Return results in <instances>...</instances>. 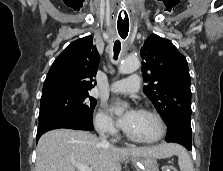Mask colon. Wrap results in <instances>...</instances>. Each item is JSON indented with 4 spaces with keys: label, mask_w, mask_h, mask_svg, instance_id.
Listing matches in <instances>:
<instances>
[{
    "label": "colon",
    "mask_w": 223,
    "mask_h": 171,
    "mask_svg": "<svg viewBox=\"0 0 223 171\" xmlns=\"http://www.w3.org/2000/svg\"><path fill=\"white\" fill-rule=\"evenodd\" d=\"M162 171H178L177 168L173 165H166L163 167Z\"/></svg>",
    "instance_id": "5ec220e1"
}]
</instances>
